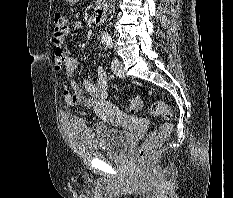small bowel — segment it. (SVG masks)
Segmentation results:
<instances>
[{"instance_id": "1", "label": "small bowel", "mask_w": 233, "mask_h": 198, "mask_svg": "<svg viewBox=\"0 0 233 198\" xmlns=\"http://www.w3.org/2000/svg\"><path fill=\"white\" fill-rule=\"evenodd\" d=\"M82 29V22L72 21L66 23L61 31H54L52 34L51 41L54 46V68L56 71L62 73L69 81L68 86H66L63 91L64 101L70 106H92L101 117L115 115V109L106 101L108 80L107 74L102 67L97 68V79L95 82L88 79L82 80V87L89 94V97L84 96L81 86L73 79L79 67V62L75 57L67 55L62 47L67 35L72 32L81 31Z\"/></svg>"}]
</instances>
